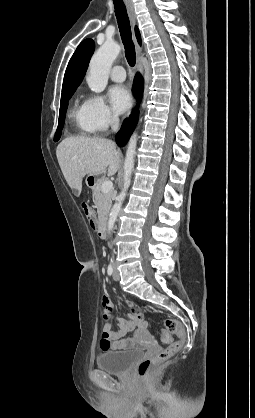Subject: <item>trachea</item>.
Masks as SVG:
<instances>
[{"instance_id":"1","label":"trachea","mask_w":255,"mask_h":418,"mask_svg":"<svg viewBox=\"0 0 255 418\" xmlns=\"http://www.w3.org/2000/svg\"><path fill=\"white\" fill-rule=\"evenodd\" d=\"M115 15L121 35V39L125 48V57L128 64L133 67L136 62L135 48L131 37L130 22L123 0H113Z\"/></svg>"}]
</instances>
